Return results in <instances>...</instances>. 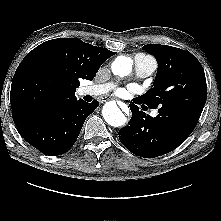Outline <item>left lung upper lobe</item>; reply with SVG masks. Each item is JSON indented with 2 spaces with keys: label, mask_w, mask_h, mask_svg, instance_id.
<instances>
[{
  "label": "left lung upper lobe",
  "mask_w": 221,
  "mask_h": 221,
  "mask_svg": "<svg viewBox=\"0 0 221 221\" xmlns=\"http://www.w3.org/2000/svg\"><path fill=\"white\" fill-rule=\"evenodd\" d=\"M158 62L154 87L137 98L159 114L194 129L204 108L207 86L200 62L188 51L160 44L143 48Z\"/></svg>",
  "instance_id": "1"
}]
</instances>
